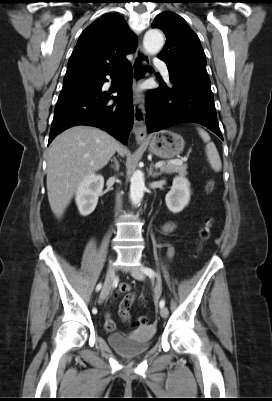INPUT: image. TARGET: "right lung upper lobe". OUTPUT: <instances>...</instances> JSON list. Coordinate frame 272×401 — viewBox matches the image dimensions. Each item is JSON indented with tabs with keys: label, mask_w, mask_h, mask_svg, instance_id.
I'll use <instances>...</instances> for the list:
<instances>
[{
	"label": "right lung upper lobe",
	"mask_w": 272,
	"mask_h": 401,
	"mask_svg": "<svg viewBox=\"0 0 272 401\" xmlns=\"http://www.w3.org/2000/svg\"><path fill=\"white\" fill-rule=\"evenodd\" d=\"M137 38L125 19L105 14L80 35L67 64L62 91L93 83L119 68L135 51Z\"/></svg>",
	"instance_id": "obj_1"
}]
</instances>
